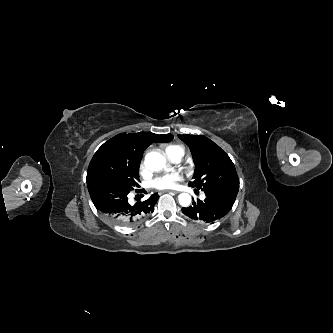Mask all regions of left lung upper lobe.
<instances>
[{
  "label": "left lung upper lobe",
  "instance_id": "obj_1",
  "mask_svg": "<svg viewBox=\"0 0 333 333\" xmlns=\"http://www.w3.org/2000/svg\"><path fill=\"white\" fill-rule=\"evenodd\" d=\"M192 153L195 170L189 186L208 194L237 196L239 178L229 156L204 135H178Z\"/></svg>",
  "mask_w": 333,
  "mask_h": 333
}]
</instances>
